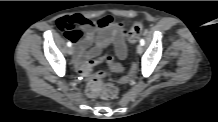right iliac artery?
<instances>
[{
	"instance_id": "right-iliac-artery-1",
	"label": "right iliac artery",
	"mask_w": 218,
	"mask_h": 122,
	"mask_svg": "<svg viewBox=\"0 0 218 122\" xmlns=\"http://www.w3.org/2000/svg\"><path fill=\"white\" fill-rule=\"evenodd\" d=\"M71 45H72L71 42L68 41V42H67V46H68V47H71Z\"/></svg>"
}]
</instances>
